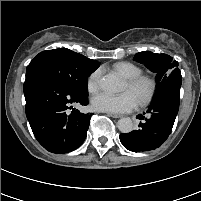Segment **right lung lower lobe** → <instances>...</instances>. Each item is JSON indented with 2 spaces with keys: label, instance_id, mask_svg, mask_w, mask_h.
<instances>
[{
  "label": "right lung lower lobe",
  "instance_id": "obj_1",
  "mask_svg": "<svg viewBox=\"0 0 201 201\" xmlns=\"http://www.w3.org/2000/svg\"><path fill=\"white\" fill-rule=\"evenodd\" d=\"M24 95L27 119L34 136L46 150L63 154L83 143L91 115L82 114L70 105H87V98L75 96L60 82L44 74L26 77Z\"/></svg>",
  "mask_w": 201,
  "mask_h": 201
}]
</instances>
